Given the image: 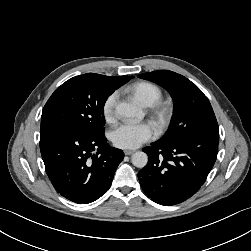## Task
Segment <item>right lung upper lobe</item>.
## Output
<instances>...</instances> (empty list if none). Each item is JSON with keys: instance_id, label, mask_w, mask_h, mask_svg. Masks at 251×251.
I'll return each mask as SVG.
<instances>
[{"instance_id": "right-lung-upper-lobe-1", "label": "right lung upper lobe", "mask_w": 251, "mask_h": 251, "mask_svg": "<svg viewBox=\"0 0 251 251\" xmlns=\"http://www.w3.org/2000/svg\"><path fill=\"white\" fill-rule=\"evenodd\" d=\"M104 76V75H103ZM109 82L115 85L117 88L128 82L133 76H104Z\"/></svg>"}]
</instances>
